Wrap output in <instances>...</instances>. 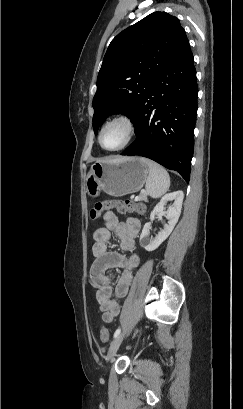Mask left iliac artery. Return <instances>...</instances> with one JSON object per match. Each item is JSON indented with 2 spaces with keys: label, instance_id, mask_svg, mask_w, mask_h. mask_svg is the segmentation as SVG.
Instances as JSON below:
<instances>
[{
  "label": "left iliac artery",
  "instance_id": "1",
  "mask_svg": "<svg viewBox=\"0 0 243 409\" xmlns=\"http://www.w3.org/2000/svg\"><path fill=\"white\" fill-rule=\"evenodd\" d=\"M120 332H121V329L120 328H118L116 331H115V333H114V338H116L119 334H120Z\"/></svg>",
  "mask_w": 243,
  "mask_h": 409
}]
</instances>
